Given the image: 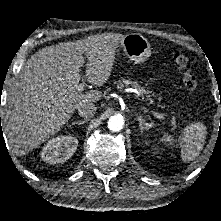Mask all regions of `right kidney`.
<instances>
[{
    "label": "right kidney",
    "mask_w": 221,
    "mask_h": 221,
    "mask_svg": "<svg viewBox=\"0 0 221 221\" xmlns=\"http://www.w3.org/2000/svg\"><path fill=\"white\" fill-rule=\"evenodd\" d=\"M78 140L72 136H58L49 140L42 149L41 158L49 164L63 163L74 154Z\"/></svg>",
    "instance_id": "1"
}]
</instances>
